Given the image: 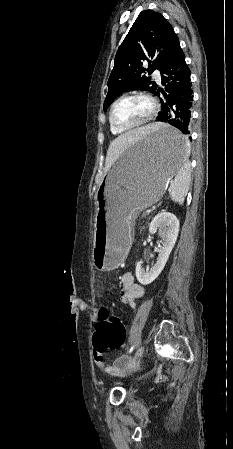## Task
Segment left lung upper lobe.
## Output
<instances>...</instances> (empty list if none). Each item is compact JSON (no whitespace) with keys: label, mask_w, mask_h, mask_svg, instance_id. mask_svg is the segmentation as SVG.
<instances>
[{"label":"left lung upper lobe","mask_w":233,"mask_h":449,"mask_svg":"<svg viewBox=\"0 0 233 449\" xmlns=\"http://www.w3.org/2000/svg\"><path fill=\"white\" fill-rule=\"evenodd\" d=\"M179 49L177 34L162 14L142 11L116 53L104 111L123 92L141 89L155 93L156 84L144 73L161 71ZM145 61L149 63L148 68L143 67Z\"/></svg>","instance_id":"5c2ea615"}]
</instances>
